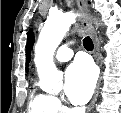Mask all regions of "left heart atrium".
Listing matches in <instances>:
<instances>
[{"label":"left heart atrium","instance_id":"1","mask_svg":"<svg viewBox=\"0 0 121 113\" xmlns=\"http://www.w3.org/2000/svg\"><path fill=\"white\" fill-rule=\"evenodd\" d=\"M95 70L87 60H77L65 72V95L73 104H84L95 85Z\"/></svg>","mask_w":121,"mask_h":113}]
</instances>
